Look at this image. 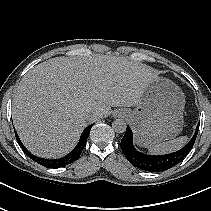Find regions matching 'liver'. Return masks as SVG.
<instances>
[{
  "label": "liver",
  "instance_id": "obj_1",
  "mask_svg": "<svg viewBox=\"0 0 211 211\" xmlns=\"http://www.w3.org/2000/svg\"><path fill=\"white\" fill-rule=\"evenodd\" d=\"M156 77L152 68L123 57L49 59L20 81L12 108L16 131L33 154L62 157L111 107L137 106Z\"/></svg>",
  "mask_w": 211,
  "mask_h": 211
}]
</instances>
